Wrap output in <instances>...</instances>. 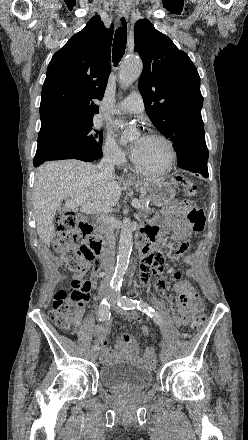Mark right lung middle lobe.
I'll return each instance as SVG.
<instances>
[{
  "instance_id": "right-lung-middle-lobe-1",
  "label": "right lung middle lobe",
  "mask_w": 248,
  "mask_h": 440,
  "mask_svg": "<svg viewBox=\"0 0 248 440\" xmlns=\"http://www.w3.org/2000/svg\"><path fill=\"white\" fill-rule=\"evenodd\" d=\"M93 122L39 133L34 163L39 160H61L76 156L102 157L101 131Z\"/></svg>"
}]
</instances>
